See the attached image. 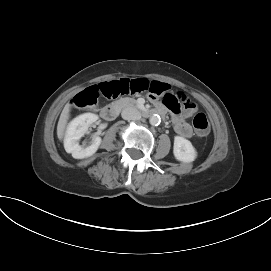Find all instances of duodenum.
<instances>
[{
	"label": "duodenum",
	"instance_id": "410a0bca",
	"mask_svg": "<svg viewBox=\"0 0 271 271\" xmlns=\"http://www.w3.org/2000/svg\"><path fill=\"white\" fill-rule=\"evenodd\" d=\"M119 112V105L112 104L104 107L101 111V116L108 121H111L116 118L117 114ZM163 109H157V110H149V109H143L141 110V114L144 117H150L155 114H162Z\"/></svg>",
	"mask_w": 271,
	"mask_h": 271
}]
</instances>
